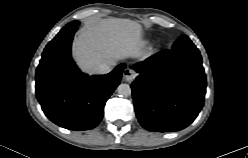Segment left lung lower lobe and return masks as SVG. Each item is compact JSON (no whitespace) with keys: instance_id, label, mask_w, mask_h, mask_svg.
I'll use <instances>...</instances> for the list:
<instances>
[{"instance_id":"0a47b994","label":"left lung lower lobe","mask_w":248,"mask_h":158,"mask_svg":"<svg viewBox=\"0 0 248 158\" xmlns=\"http://www.w3.org/2000/svg\"><path fill=\"white\" fill-rule=\"evenodd\" d=\"M134 69L140 73L131 84L136 116L146 130L179 131L203 107L206 76L199 50L181 36L171 50L158 52Z\"/></svg>"}]
</instances>
